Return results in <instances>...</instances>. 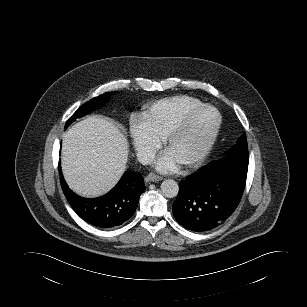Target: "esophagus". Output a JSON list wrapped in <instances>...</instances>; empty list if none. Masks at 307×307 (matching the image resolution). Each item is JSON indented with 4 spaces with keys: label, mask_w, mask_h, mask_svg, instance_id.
I'll use <instances>...</instances> for the list:
<instances>
[{
    "label": "esophagus",
    "mask_w": 307,
    "mask_h": 307,
    "mask_svg": "<svg viewBox=\"0 0 307 307\" xmlns=\"http://www.w3.org/2000/svg\"><path fill=\"white\" fill-rule=\"evenodd\" d=\"M161 180H163V177H161V176H158V175H156V174H154V173H150V174H148L146 177H145V181L146 182H157V181H161Z\"/></svg>",
    "instance_id": "esophagus-1"
}]
</instances>
